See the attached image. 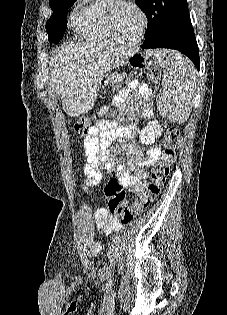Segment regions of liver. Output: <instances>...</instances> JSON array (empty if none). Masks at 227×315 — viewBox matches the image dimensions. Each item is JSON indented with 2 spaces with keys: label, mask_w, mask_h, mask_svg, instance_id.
I'll list each match as a JSON object with an SVG mask.
<instances>
[{
  "label": "liver",
  "mask_w": 227,
  "mask_h": 315,
  "mask_svg": "<svg viewBox=\"0 0 227 315\" xmlns=\"http://www.w3.org/2000/svg\"><path fill=\"white\" fill-rule=\"evenodd\" d=\"M132 54L105 44L76 43L53 51L49 85L71 117L89 112L105 75Z\"/></svg>",
  "instance_id": "liver-1"
}]
</instances>
